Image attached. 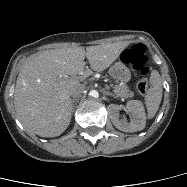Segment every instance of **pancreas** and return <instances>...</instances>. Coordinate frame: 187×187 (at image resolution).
I'll return each mask as SVG.
<instances>
[{
	"instance_id": "pancreas-1",
	"label": "pancreas",
	"mask_w": 187,
	"mask_h": 187,
	"mask_svg": "<svg viewBox=\"0 0 187 187\" xmlns=\"http://www.w3.org/2000/svg\"><path fill=\"white\" fill-rule=\"evenodd\" d=\"M114 93L118 97L129 98L134 96V93L130 91L129 87L125 84H119L114 87Z\"/></svg>"
}]
</instances>
